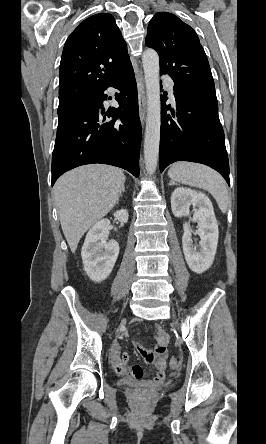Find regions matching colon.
Returning a JSON list of instances; mask_svg holds the SVG:
<instances>
[{
    "label": "colon",
    "instance_id": "1",
    "mask_svg": "<svg viewBox=\"0 0 266 444\" xmlns=\"http://www.w3.org/2000/svg\"><path fill=\"white\" fill-rule=\"evenodd\" d=\"M170 366H171V368H173V369L178 368V366H179V362H178V360H177L175 357H172V358L170 359Z\"/></svg>",
    "mask_w": 266,
    "mask_h": 444
}]
</instances>
